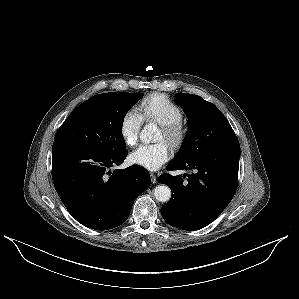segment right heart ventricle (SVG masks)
<instances>
[{"label":"right heart ventricle","instance_id":"right-heart-ventricle-1","mask_svg":"<svg viewBox=\"0 0 299 299\" xmlns=\"http://www.w3.org/2000/svg\"><path fill=\"white\" fill-rule=\"evenodd\" d=\"M139 107L142 119L159 124L181 121L183 117L181 108L162 93L147 96L141 101Z\"/></svg>","mask_w":299,"mask_h":299}]
</instances>
